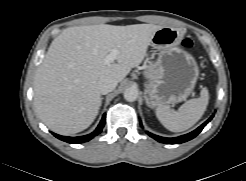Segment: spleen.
<instances>
[{
    "label": "spleen",
    "mask_w": 246,
    "mask_h": 181,
    "mask_svg": "<svg viewBox=\"0 0 246 181\" xmlns=\"http://www.w3.org/2000/svg\"><path fill=\"white\" fill-rule=\"evenodd\" d=\"M209 102L207 88H203L199 98L186 101L177 111L168 106H159L156 116L162 125L172 132H182L197 123L204 114Z\"/></svg>",
    "instance_id": "obj_1"
}]
</instances>
